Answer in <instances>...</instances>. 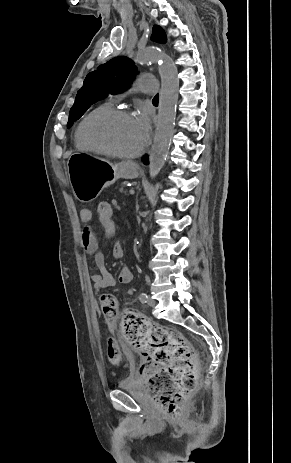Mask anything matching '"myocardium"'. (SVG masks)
<instances>
[{
    "label": "myocardium",
    "mask_w": 291,
    "mask_h": 463,
    "mask_svg": "<svg viewBox=\"0 0 291 463\" xmlns=\"http://www.w3.org/2000/svg\"><path fill=\"white\" fill-rule=\"evenodd\" d=\"M120 117H132L130 111L126 109H110L106 112L98 113L90 117L83 126L82 137L84 142L94 151L103 153L112 157L122 158V159H132L139 156L144 148L145 142L134 152L124 153L113 149L107 144L97 141L92 137V129L95 125L99 123L108 122Z\"/></svg>",
    "instance_id": "myocardium-1"
}]
</instances>
